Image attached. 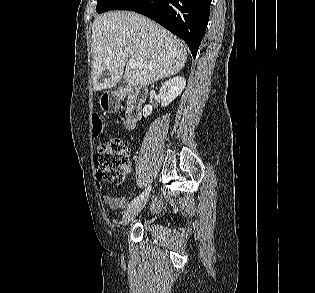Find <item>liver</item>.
<instances>
[{
    "label": "liver",
    "mask_w": 315,
    "mask_h": 293,
    "mask_svg": "<svg viewBox=\"0 0 315 293\" xmlns=\"http://www.w3.org/2000/svg\"><path fill=\"white\" fill-rule=\"evenodd\" d=\"M92 43L95 92L113 87L114 76L123 73L129 85L148 86L177 74L187 60L186 48L180 39L134 12H108L95 18ZM129 59L138 65L130 67ZM105 71L110 72L111 78L104 77L101 82Z\"/></svg>",
    "instance_id": "obj_1"
}]
</instances>
